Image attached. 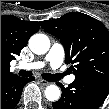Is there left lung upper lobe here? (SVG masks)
<instances>
[{"instance_id":"5c2ea615","label":"left lung upper lobe","mask_w":109,"mask_h":109,"mask_svg":"<svg viewBox=\"0 0 109 109\" xmlns=\"http://www.w3.org/2000/svg\"><path fill=\"white\" fill-rule=\"evenodd\" d=\"M40 24L63 43L65 63L72 64L69 69L75 79L109 88V31L102 22L81 12H70Z\"/></svg>"}]
</instances>
